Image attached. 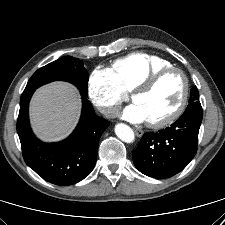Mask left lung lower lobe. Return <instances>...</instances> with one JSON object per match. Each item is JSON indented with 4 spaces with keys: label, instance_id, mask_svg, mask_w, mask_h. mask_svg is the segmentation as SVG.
I'll return each instance as SVG.
<instances>
[{
    "label": "left lung lower lobe",
    "instance_id": "left-lung-lower-lobe-1",
    "mask_svg": "<svg viewBox=\"0 0 225 225\" xmlns=\"http://www.w3.org/2000/svg\"><path fill=\"white\" fill-rule=\"evenodd\" d=\"M202 116L201 105H193L170 127L144 134L133 151L135 167L156 179L182 171L196 154Z\"/></svg>",
    "mask_w": 225,
    "mask_h": 225
}]
</instances>
